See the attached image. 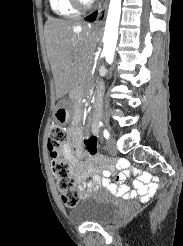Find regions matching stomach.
<instances>
[{"instance_id":"1","label":"stomach","mask_w":183,"mask_h":246,"mask_svg":"<svg viewBox=\"0 0 183 246\" xmlns=\"http://www.w3.org/2000/svg\"><path fill=\"white\" fill-rule=\"evenodd\" d=\"M70 112L68 108V102L63 100L61 101L56 108L54 113V119L59 124H66L69 120Z\"/></svg>"}]
</instances>
